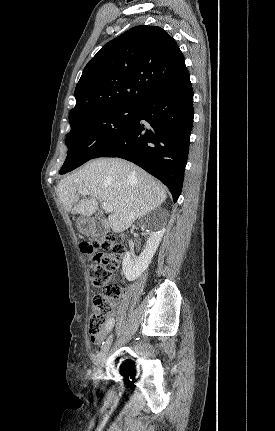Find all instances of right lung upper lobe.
Wrapping results in <instances>:
<instances>
[{
    "mask_svg": "<svg viewBox=\"0 0 275 431\" xmlns=\"http://www.w3.org/2000/svg\"><path fill=\"white\" fill-rule=\"evenodd\" d=\"M187 71L175 40L157 26H136L88 62L75 88L70 124L97 110L137 106Z\"/></svg>",
    "mask_w": 275,
    "mask_h": 431,
    "instance_id": "1",
    "label": "right lung upper lobe"
}]
</instances>
